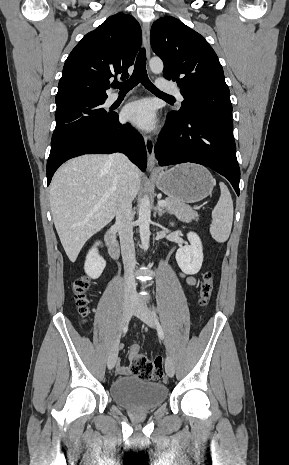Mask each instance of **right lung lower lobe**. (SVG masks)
I'll list each match as a JSON object with an SVG mask.
<instances>
[{
    "instance_id": "98d812e1",
    "label": "right lung lower lobe",
    "mask_w": 289,
    "mask_h": 465,
    "mask_svg": "<svg viewBox=\"0 0 289 465\" xmlns=\"http://www.w3.org/2000/svg\"><path fill=\"white\" fill-rule=\"evenodd\" d=\"M123 152L142 171L146 169V149L142 136L130 124H121L117 114L106 123L77 130L51 144L47 161V181L68 159L83 154Z\"/></svg>"
}]
</instances>
